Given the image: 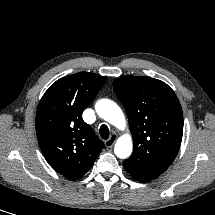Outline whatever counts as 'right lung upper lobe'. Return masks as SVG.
I'll return each mask as SVG.
<instances>
[{
  "instance_id": "right-lung-upper-lobe-1",
  "label": "right lung upper lobe",
  "mask_w": 215,
  "mask_h": 215,
  "mask_svg": "<svg viewBox=\"0 0 215 215\" xmlns=\"http://www.w3.org/2000/svg\"><path fill=\"white\" fill-rule=\"evenodd\" d=\"M106 78L79 72L57 80L43 95L36 113V133L49 165L64 177L77 180L105 147L82 119Z\"/></svg>"
}]
</instances>
